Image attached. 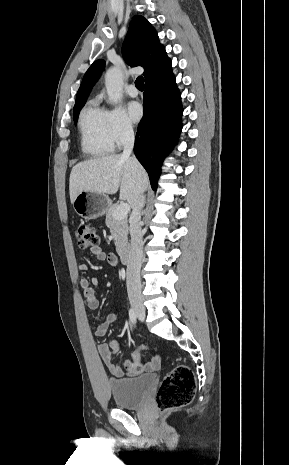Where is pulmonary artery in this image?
Masks as SVG:
<instances>
[{"label": "pulmonary artery", "instance_id": "1", "mask_svg": "<svg viewBox=\"0 0 289 465\" xmlns=\"http://www.w3.org/2000/svg\"><path fill=\"white\" fill-rule=\"evenodd\" d=\"M127 93L130 97H137L139 92L135 85L131 84L128 86Z\"/></svg>", "mask_w": 289, "mask_h": 465}]
</instances>
